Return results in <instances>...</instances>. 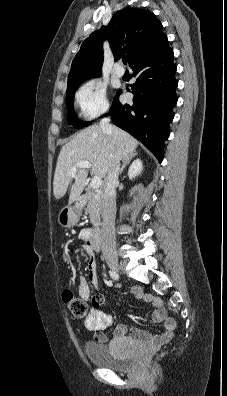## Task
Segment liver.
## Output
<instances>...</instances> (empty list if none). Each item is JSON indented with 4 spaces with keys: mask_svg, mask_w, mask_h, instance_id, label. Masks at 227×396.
Segmentation results:
<instances>
[{
    "mask_svg": "<svg viewBox=\"0 0 227 396\" xmlns=\"http://www.w3.org/2000/svg\"><path fill=\"white\" fill-rule=\"evenodd\" d=\"M138 142L127 132L113 127L111 138L100 128L92 125L77 133L60 151L53 180V193L60 199L67 191L72 179L69 203L74 202L82 193L86 184L88 171L77 168L71 175L72 168L80 161L91 163V172L95 176L105 177L113 167L116 159H122L135 151Z\"/></svg>",
    "mask_w": 227,
    "mask_h": 396,
    "instance_id": "6515ba94",
    "label": "liver"
}]
</instances>
